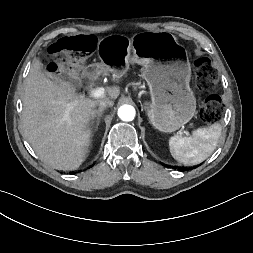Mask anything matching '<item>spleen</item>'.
<instances>
[{
  "mask_svg": "<svg viewBox=\"0 0 253 253\" xmlns=\"http://www.w3.org/2000/svg\"><path fill=\"white\" fill-rule=\"evenodd\" d=\"M221 131V125L214 123L209 127L198 128L190 137L175 135L169 140L170 153L175 160L184 165L199 164L213 153Z\"/></svg>",
  "mask_w": 253,
  "mask_h": 253,
  "instance_id": "3e777b00",
  "label": "spleen"
}]
</instances>
